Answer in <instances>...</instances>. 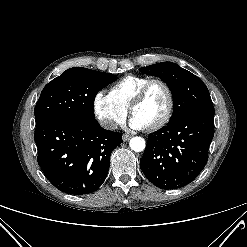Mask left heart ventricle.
Returning <instances> with one entry per match:
<instances>
[{"mask_svg": "<svg viewBox=\"0 0 247 247\" xmlns=\"http://www.w3.org/2000/svg\"><path fill=\"white\" fill-rule=\"evenodd\" d=\"M167 106L168 98L165 90L160 85H155L150 89L145 100L135 108L133 114L150 126L164 116Z\"/></svg>", "mask_w": 247, "mask_h": 247, "instance_id": "obj_1", "label": "left heart ventricle"}]
</instances>
